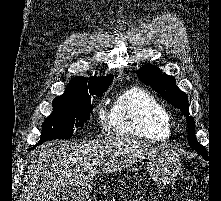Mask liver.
Returning <instances> with one entry per match:
<instances>
[{"instance_id":"6515ba94","label":"liver","mask_w":221,"mask_h":201,"mask_svg":"<svg viewBox=\"0 0 221 201\" xmlns=\"http://www.w3.org/2000/svg\"><path fill=\"white\" fill-rule=\"evenodd\" d=\"M173 151L129 136H109L89 142L59 141L33 152L20 201H57L65 185L84 187L101 164L105 173L132 166L145 157Z\"/></svg>"}]
</instances>
